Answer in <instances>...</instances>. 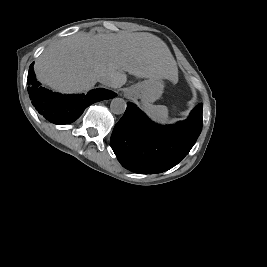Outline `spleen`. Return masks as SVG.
Segmentation results:
<instances>
[{
    "instance_id": "obj_1",
    "label": "spleen",
    "mask_w": 267,
    "mask_h": 267,
    "mask_svg": "<svg viewBox=\"0 0 267 267\" xmlns=\"http://www.w3.org/2000/svg\"><path fill=\"white\" fill-rule=\"evenodd\" d=\"M142 110L157 123L165 124L169 121L168 108L164 105L143 103Z\"/></svg>"
}]
</instances>
